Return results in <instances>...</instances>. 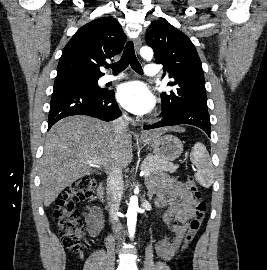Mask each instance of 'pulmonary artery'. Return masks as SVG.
<instances>
[{
    "label": "pulmonary artery",
    "mask_w": 267,
    "mask_h": 270,
    "mask_svg": "<svg viewBox=\"0 0 267 270\" xmlns=\"http://www.w3.org/2000/svg\"><path fill=\"white\" fill-rule=\"evenodd\" d=\"M145 74L147 75H155L157 72H158V69H157V66L155 64H148L145 66ZM124 77L123 74H120V75H106L102 78V81L107 83V82H110V81H114V80H117V79H120Z\"/></svg>",
    "instance_id": "obj_1"
}]
</instances>
